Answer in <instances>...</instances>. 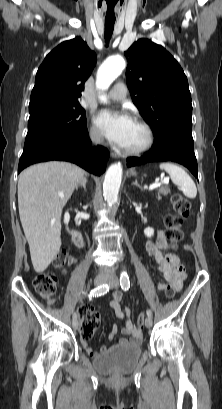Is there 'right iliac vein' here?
<instances>
[{
	"label": "right iliac vein",
	"instance_id": "obj_1",
	"mask_svg": "<svg viewBox=\"0 0 222 409\" xmlns=\"http://www.w3.org/2000/svg\"><path fill=\"white\" fill-rule=\"evenodd\" d=\"M107 281H108V278H107L105 275L101 274V275H98V276L95 278L94 284H95V285H102V284L106 283ZM72 325H73V327H74L75 329L79 328V323H78L77 320H73V321H72Z\"/></svg>",
	"mask_w": 222,
	"mask_h": 409
}]
</instances>
